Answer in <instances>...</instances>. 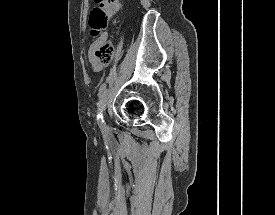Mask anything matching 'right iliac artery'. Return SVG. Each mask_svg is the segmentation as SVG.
Listing matches in <instances>:
<instances>
[{
    "mask_svg": "<svg viewBox=\"0 0 275 215\" xmlns=\"http://www.w3.org/2000/svg\"><path fill=\"white\" fill-rule=\"evenodd\" d=\"M106 95V84H102L100 89H99V93H98V97H99V103H98V115H97V118H98V121H99V126L101 129H105V123H104V120H103V114H102V110H101V104H102V100L103 98L105 97Z\"/></svg>",
    "mask_w": 275,
    "mask_h": 215,
    "instance_id": "82829eb1",
    "label": "right iliac artery"
}]
</instances>
